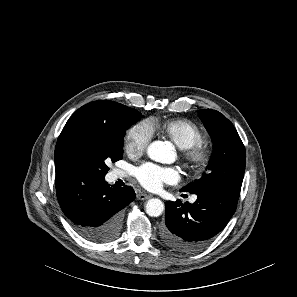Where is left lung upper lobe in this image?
<instances>
[{"label": "left lung upper lobe", "mask_w": 297, "mask_h": 297, "mask_svg": "<svg viewBox=\"0 0 297 297\" xmlns=\"http://www.w3.org/2000/svg\"><path fill=\"white\" fill-rule=\"evenodd\" d=\"M212 137L213 153L206 172L181 189L196 193L211 187L241 189L245 172V147L233 124L220 112L206 109L199 113Z\"/></svg>", "instance_id": "left-lung-upper-lobe-1"}]
</instances>
